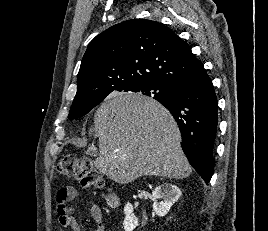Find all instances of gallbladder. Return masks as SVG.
Wrapping results in <instances>:
<instances>
[{"label":"gallbladder","instance_id":"gallbladder-1","mask_svg":"<svg viewBox=\"0 0 268 231\" xmlns=\"http://www.w3.org/2000/svg\"><path fill=\"white\" fill-rule=\"evenodd\" d=\"M87 153H88L89 155H96L97 152H96L95 150L89 148V149L87 150Z\"/></svg>","mask_w":268,"mask_h":231}]
</instances>
